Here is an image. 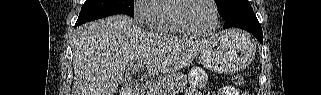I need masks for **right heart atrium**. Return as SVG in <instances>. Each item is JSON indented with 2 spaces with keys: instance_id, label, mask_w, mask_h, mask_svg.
<instances>
[{
  "instance_id": "obj_1",
  "label": "right heart atrium",
  "mask_w": 321,
  "mask_h": 95,
  "mask_svg": "<svg viewBox=\"0 0 321 95\" xmlns=\"http://www.w3.org/2000/svg\"><path fill=\"white\" fill-rule=\"evenodd\" d=\"M156 0L135 1L133 14L135 20L140 24H148L154 9Z\"/></svg>"
}]
</instances>
